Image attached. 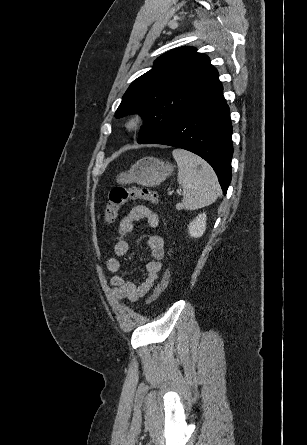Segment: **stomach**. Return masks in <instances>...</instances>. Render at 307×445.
I'll return each mask as SVG.
<instances>
[{"instance_id":"stomach-1","label":"stomach","mask_w":307,"mask_h":445,"mask_svg":"<svg viewBox=\"0 0 307 445\" xmlns=\"http://www.w3.org/2000/svg\"><path fill=\"white\" fill-rule=\"evenodd\" d=\"M174 170L173 164L163 162L154 156H143L132 164L130 170L120 172L116 180L119 184H131L137 182L141 186H157L163 180H166L169 174Z\"/></svg>"}]
</instances>
